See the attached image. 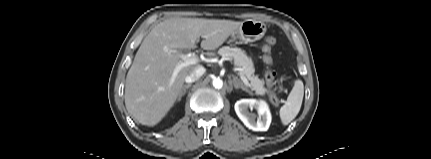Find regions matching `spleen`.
I'll use <instances>...</instances> for the list:
<instances>
[{
  "label": "spleen",
  "mask_w": 431,
  "mask_h": 159,
  "mask_svg": "<svg viewBox=\"0 0 431 159\" xmlns=\"http://www.w3.org/2000/svg\"><path fill=\"white\" fill-rule=\"evenodd\" d=\"M304 96V85L296 80L285 104L280 108V119L283 125H288L298 115Z\"/></svg>",
  "instance_id": "1"
}]
</instances>
